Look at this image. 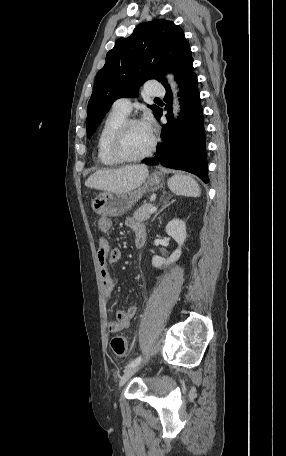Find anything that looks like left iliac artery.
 Masks as SVG:
<instances>
[{"label":"left iliac artery","mask_w":286,"mask_h":456,"mask_svg":"<svg viewBox=\"0 0 286 456\" xmlns=\"http://www.w3.org/2000/svg\"><path fill=\"white\" fill-rule=\"evenodd\" d=\"M141 362V356L137 357L136 359L132 360L127 367L138 365Z\"/></svg>","instance_id":"obj_1"}]
</instances>
